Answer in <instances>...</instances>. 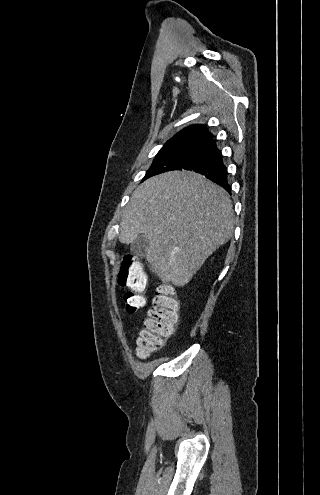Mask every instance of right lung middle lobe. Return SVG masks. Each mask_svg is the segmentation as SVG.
I'll use <instances>...</instances> for the list:
<instances>
[{"label":"right lung middle lobe","mask_w":320,"mask_h":495,"mask_svg":"<svg viewBox=\"0 0 320 495\" xmlns=\"http://www.w3.org/2000/svg\"><path fill=\"white\" fill-rule=\"evenodd\" d=\"M205 143L201 140H179L166 143L156 155L144 179L166 171L177 170Z\"/></svg>","instance_id":"right-lung-middle-lobe-1"}]
</instances>
